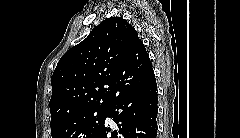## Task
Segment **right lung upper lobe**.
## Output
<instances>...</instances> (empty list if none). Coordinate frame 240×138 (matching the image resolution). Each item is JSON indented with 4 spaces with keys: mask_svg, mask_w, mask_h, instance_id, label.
<instances>
[{
    "mask_svg": "<svg viewBox=\"0 0 240 138\" xmlns=\"http://www.w3.org/2000/svg\"><path fill=\"white\" fill-rule=\"evenodd\" d=\"M153 74L134 27L121 17L107 18L59 60L51 78V123L89 108L109 107Z\"/></svg>",
    "mask_w": 240,
    "mask_h": 138,
    "instance_id": "cb5924a9",
    "label": "right lung upper lobe"
}]
</instances>
